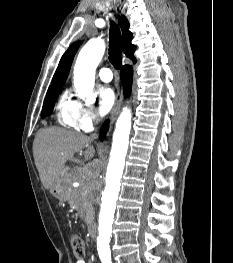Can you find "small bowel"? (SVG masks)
Wrapping results in <instances>:
<instances>
[{"instance_id":"1","label":"small bowel","mask_w":233,"mask_h":263,"mask_svg":"<svg viewBox=\"0 0 233 263\" xmlns=\"http://www.w3.org/2000/svg\"><path fill=\"white\" fill-rule=\"evenodd\" d=\"M76 263H87L84 259L77 260Z\"/></svg>"}]
</instances>
